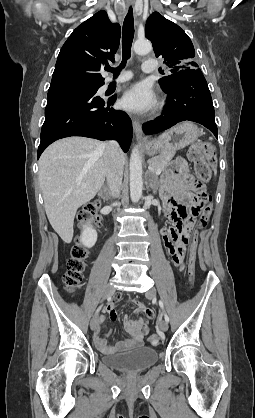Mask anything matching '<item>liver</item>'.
Segmentation results:
<instances>
[{"instance_id": "obj_1", "label": "liver", "mask_w": 255, "mask_h": 418, "mask_svg": "<svg viewBox=\"0 0 255 418\" xmlns=\"http://www.w3.org/2000/svg\"><path fill=\"white\" fill-rule=\"evenodd\" d=\"M104 143L69 137L51 144L39 160V182L48 220L65 243L73 238L80 206L95 197L105 180ZM122 159L125 156L122 152Z\"/></svg>"}]
</instances>
